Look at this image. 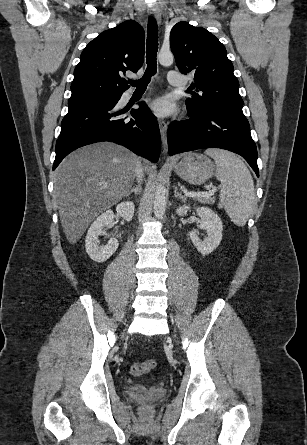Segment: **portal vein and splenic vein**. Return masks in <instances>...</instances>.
Instances as JSON below:
<instances>
[{
  "instance_id": "portal-vein-and-splenic-vein-1",
  "label": "portal vein and splenic vein",
  "mask_w": 307,
  "mask_h": 445,
  "mask_svg": "<svg viewBox=\"0 0 307 445\" xmlns=\"http://www.w3.org/2000/svg\"><path fill=\"white\" fill-rule=\"evenodd\" d=\"M204 188H207L210 194H212V192H216L217 190V186H214V184H208V186H204ZM208 192H189V194L186 192V196H205V194H208Z\"/></svg>"
}]
</instances>
